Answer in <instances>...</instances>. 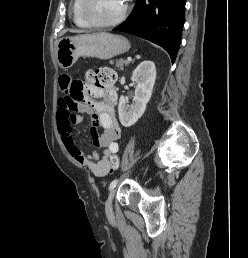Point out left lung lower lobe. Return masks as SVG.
Returning <instances> with one entry per match:
<instances>
[{
    "mask_svg": "<svg viewBox=\"0 0 248 258\" xmlns=\"http://www.w3.org/2000/svg\"><path fill=\"white\" fill-rule=\"evenodd\" d=\"M186 0H136L130 16L113 31L126 32L163 47L175 62Z\"/></svg>",
    "mask_w": 248,
    "mask_h": 258,
    "instance_id": "left-lung-lower-lobe-1",
    "label": "left lung lower lobe"
}]
</instances>
